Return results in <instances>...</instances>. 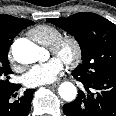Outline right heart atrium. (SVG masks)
I'll list each match as a JSON object with an SVG mask.
<instances>
[{"label":"right heart atrium","instance_id":"1","mask_svg":"<svg viewBox=\"0 0 116 116\" xmlns=\"http://www.w3.org/2000/svg\"><path fill=\"white\" fill-rule=\"evenodd\" d=\"M7 58H8V61H9L10 64L14 63V57H13L11 51L8 52Z\"/></svg>","mask_w":116,"mask_h":116}]
</instances>
